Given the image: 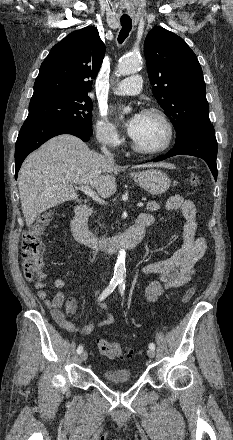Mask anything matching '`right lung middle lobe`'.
Instances as JSON below:
<instances>
[{"instance_id":"obj_1","label":"right lung middle lobe","mask_w":233,"mask_h":440,"mask_svg":"<svg viewBox=\"0 0 233 440\" xmlns=\"http://www.w3.org/2000/svg\"><path fill=\"white\" fill-rule=\"evenodd\" d=\"M92 108L89 97L52 98L29 104L27 119H44L69 123L92 135Z\"/></svg>"}]
</instances>
